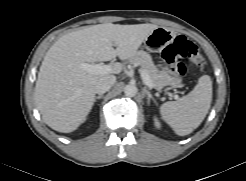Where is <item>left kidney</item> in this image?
<instances>
[{
  "label": "left kidney",
  "mask_w": 246,
  "mask_h": 181,
  "mask_svg": "<svg viewBox=\"0 0 246 181\" xmlns=\"http://www.w3.org/2000/svg\"><path fill=\"white\" fill-rule=\"evenodd\" d=\"M154 123H155L156 128H158V129L161 128V124L156 117L154 118Z\"/></svg>",
  "instance_id": "5707ae66"
}]
</instances>
